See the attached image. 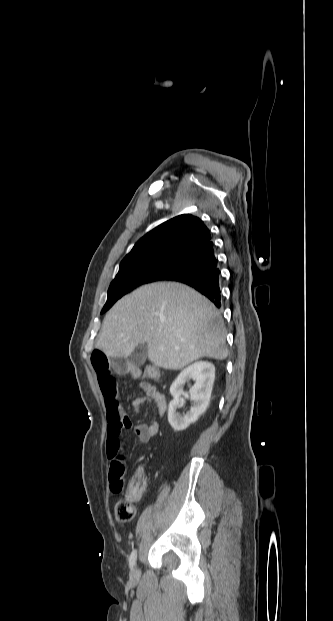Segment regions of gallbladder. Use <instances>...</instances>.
I'll return each instance as SVG.
<instances>
[{
  "instance_id": "bac80fb5",
  "label": "gallbladder",
  "mask_w": 333,
  "mask_h": 621,
  "mask_svg": "<svg viewBox=\"0 0 333 621\" xmlns=\"http://www.w3.org/2000/svg\"><path fill=\"white\" fill-rule=\"evenodd\" d=\"M148 348L146 343L138 345L129 357L130 362L135 366H141L146 361Z\"/></svg>"
}]
</instances>
